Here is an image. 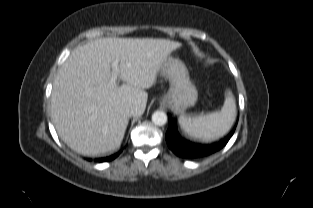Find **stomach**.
<instances>
[{"label":"stomach","mask_w":313,"mask_h":208,"mask_svg":"<svg viewBox=\"0 0 313 208\" xmlns=\"http://www.w3.org/2000/svg\"><path fill=\"white\" fill-rule=\"evenodd\" d=\"M160 72L170 81V89L161 99V103L180 111L195 103L197 90L190 81L187 68L181 61L167 57Z\"/></svg>","instance_id":"stomach-1"}]
</instances>
